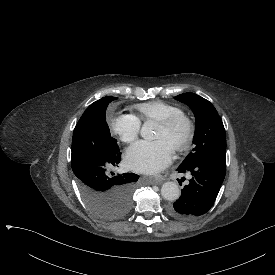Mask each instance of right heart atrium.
Listing matches in <instances>:
<instances>
[{
	"label": "right heart atrium",
	"instance_id": "d8ad5b80",
	"mask_svg": "<svg viewBox=\"0 0 275 275\" xmlns=\"http://www.w3.org/2000/svg\"><path fill=\"white\" fill-rule=\"evenodd\" d=\"M140 128L139 120L132 115H118L110 122L112 135L118 137L122 143L128 146H132L138 141Z\"/></svg>",
	"mask_w": 275,
	"mask_h": 275
}]
</instances>
